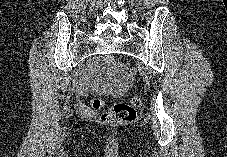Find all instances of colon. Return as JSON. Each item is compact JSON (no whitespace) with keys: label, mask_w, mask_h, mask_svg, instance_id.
<instances>
[{"label":"colon","mask_w":227,"mask_h":157,"mask_svg":"<svg viewBox=\"0 0 227 157\" xmlns=\"http://www.w3.org/2000/svg\"><path fill=\"white\" fill-rule=\"evenodd\" d=\"M105 102L102 99H92L91 105L95 109H100L104 106ZM142 105V98L140 96H133L130 104L115 103L109 110L101 115V120L105 123H119L128 122L135 118L136 108Z\"/></svg>","instance_id":"5ec220e1"}]
</instances>
